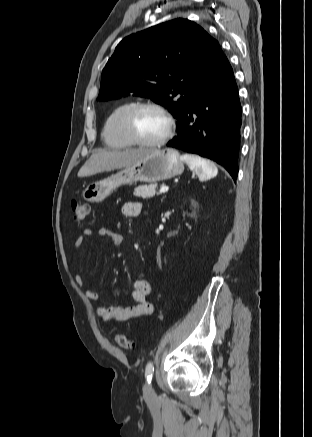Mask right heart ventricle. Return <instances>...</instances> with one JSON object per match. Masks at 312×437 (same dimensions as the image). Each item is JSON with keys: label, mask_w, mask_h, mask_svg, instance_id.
<instances>
[{"label": "right heart ventricle", "mask_w": 312, "mask_h": 437, "mask_svg": "<svg viewBox=\"0 0 312 437\" xmlns=\"http://www.w3.org/2000/svg\"><path fill=\"white\" fill-rule=\"evenodd\" d=\"M133 105L134 103L129 101L123 102L117 105L105 119L102 138L107 146L111 148H127L133 145L123 129L124 115Z\"/></svg>", "instance_id": "1"}]
</instances>
